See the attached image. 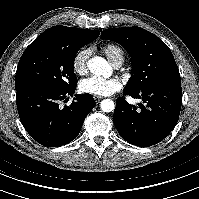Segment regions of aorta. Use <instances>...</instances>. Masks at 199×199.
I'll return each instance as SVG.
<instances>
[{
    "label": "aorta",
    "instance_id": "762f6f07",
    "mask_svg": "<svg viewBox=\"0 0 199 199\" xmlns=\"http://www.w3.org/2000/svg\"><path fill=\"white\" fill-rule=\"evenodd\" d=\"M87 67L91 73L98 76H106L111 70L108 62L101 57L91 58L87 63ZM100 107L104 112H112L115 105L111 99H104L101 101Z\"/></svg>",
    "mask_w": 199,
    "mask_h": 199
}]
</instances>
